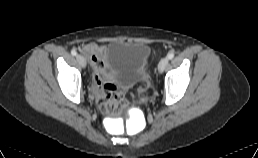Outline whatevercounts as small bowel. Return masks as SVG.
Here are the masks:
<instances>
[{
    "label": "small bowel",
    "mask_w": 258,
    "mask_h": 158,
    "mask_svg": "<svg viewBox=\"0 0 258 158\" xmlns=\"http://www.w3.org/2000/svg\"><path fill=\"white\" fill-rule=\"evenodd\" d=\"M105 48L96 43H87L82 47V52L89 56L92 62L94 70L92 90L101 103V107L115 94L121 98L124 97L123 91L119 90L113 79L105 73L103 63Z\"/></svg>",
    "instance_id": "c3829d8e"
}]
</instances>
